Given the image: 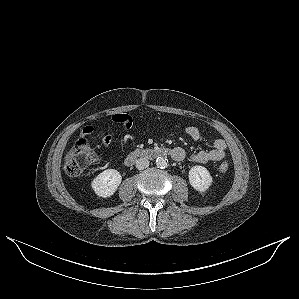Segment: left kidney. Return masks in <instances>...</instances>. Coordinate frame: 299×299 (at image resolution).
I'll return each instance as SVG.
<instances>
[{
  "label": "left kidney",
  "mask_w": 299,
  "mask_h": 299,
  "mask_svg": "<svg viewBox=\"0 0 299 299\" xmlns=\"http://www.w3.org/2000/svg\"><path fill=\"white\" fill-rule=\"evenodd\" d=\"M189 182L190 185L197 191L204 192L206 191L212 184V176L209 171L199 165L193 166L189 170Z\"/></svg>",
  "instance_id": "1"
}]
</instances>
